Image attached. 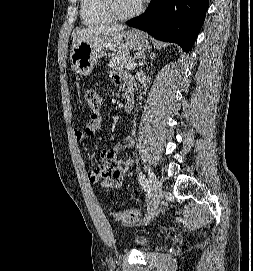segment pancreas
Wrapping results in <instances>:
<instances>
[{
	"instance_id": "obj_1",
	"label": "pancreas",
	"mask_w": 253,
	"mask_h": 271,
	"mask_svg": "<svg viewBox=\"0 0 253 271\" xmlns=\"http://www.w3.org/2000/svg\"><path fill=\"white\" fill-rule=\"evenodd\" d=\"M131 62H134V58H132L128 52H119L112 56L108 65L111 68L123 71Z\"/></svg>"
}]
</instances>
